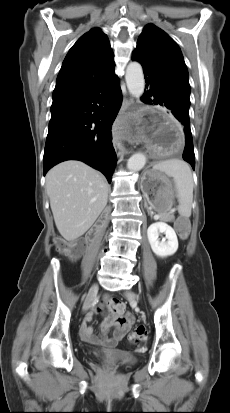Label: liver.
I'll return each instance as SVG.
<instances>
[{
  "label": "liver",
  "mask_w": 230,
  "mask_h": 413,
  "mask_svg": "<svg viewBox=\"0 0 230 413\" xmlns=\"http://www.w3.org/2000/svg\"><path fill=\"white\" fill-rule=\"evenodd\" d=\"M46 190L59 233L67 241H74L93 225L105 208L109 186L95 169L70 160L47 173Z\"/></svg>",
  "instance_id": "1"
}]
</instances>
